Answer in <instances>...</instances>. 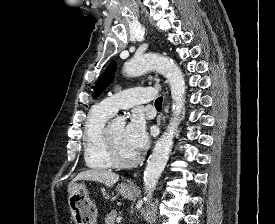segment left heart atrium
I'll return each mask as SVG.
<instances>
[{"instance_id": "left-heart-atrium-1", "label": "left heart atrium", "mask_w": 275, "mask_h": 224, "mask_svg": "<svg viewBox=\"0 0 275 224\" xmlns=\"http://www.w3.org/2000/svg\"><path fill=\"white\" fill-rule=\"evenodd\" d=\"M124 140L128 147L136 154L140 153L148 144V134L143 118L135 114L124 129Z\"/></svg>"}]
</instances>
